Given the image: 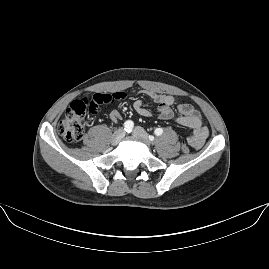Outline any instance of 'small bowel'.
Instances as JSON below:
<instances>
[{
  "mask_svg": "<svg viewBox=\"0 0 269 269\" xmlns=\"http://www.w3.org/2000/svg\"><path fill=\"white\" fill-rule=\"evenodd\" d=\"M144 95L149 97V100L136 99L133 102V109L143 117H150L151 112L145 107L146 103H154L158 106L159 118L163 120H172L177 124L188 127L191 130L189 135V143L194 149H200L207 136L208 128L203 125L202 117L198 110L191 104L183 103L178 105L177 110L179 115H175L172 111L175 99L171 95L159 94L154 91L144 90ZM121 118L119 110H112L109 113V120L116 123Z\"/></svg>",
  "mask_w": 269,
  "mask_h": 269,
  "instance_id": "small-bowel-1",
  "label": "small bowel"
}]
</instances>
